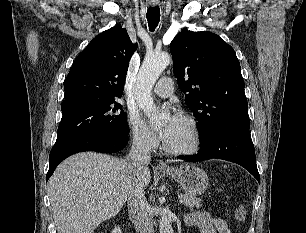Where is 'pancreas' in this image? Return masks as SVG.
I'll use <instances>...</instances> for the list:
<instances>
[{
  "instance_id": "1",
  "label": "pancreas",
  "mask_w": 306,
  "mask_h": 233,
  "mask_svg": "<svg viewBox=\"0 0 306 233\" xmlns=\"http://www.w3.org/2000/svg\"><path fill=\"white\" fill-rule=\"evenodd\" d=\"M181 198L184 200L183 204L187 208L199 207L201 205V200L195 196L184 194Z\"/></svg>"
}]
</instances>
